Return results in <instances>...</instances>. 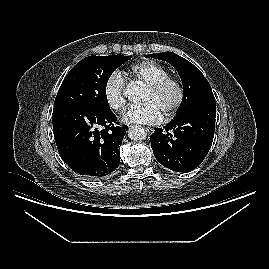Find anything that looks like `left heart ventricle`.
I'll return each mask as SVG.
<instances>
[{
    "label": "left heart ventricle",
    "mask_w": 269,
    "mask_h": 269,
    "mask_svg": "<svg viewBox=\"0 0 269 269\" xmlns=\"http://www.w3.org/2000/svg\"><path fill=\"white\" fill-rule=\"evenodd\" d=\"M177 98V91L174 86H168L162 92L154 94L149 89L146 93L144 102H153L162 115H164L174 104Z\"/></svg>",
    "instance_id": "obj_1"
}]
</instances>
